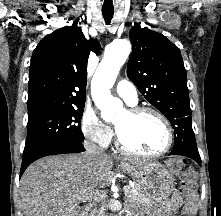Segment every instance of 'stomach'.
Instances as JSON below:
<instances>
[{
  "label": "stomach",
  "instance_id": "stomach-1",
  "mask_svg": "<svg viewBox=\"0 0 221 216\" xmlns=\"http://www.w3.org/2000/svg\"><path fill=\"white\" fill-rule=\"evenodd\" d=\"M122 169L137 181L151 201L165 200L174 190L172 175L159 163L124 164Z\"/></svg>",
  "mask_w": 221,
  "mask_h": 216
}]
</instances>
